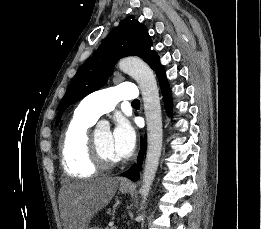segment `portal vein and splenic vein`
<instances>
[{"mask_svg":"<svg viewBox=\"0 0 261 229\" xmlns=\"http://www.w3.org/2000/svg\"><path fill=\"white\" fill-rule=\"evenodd\" d=\"M111 229H117V227L116 226H112Z\"/></svg>","mask_w":261,"mask_h":229,"instance_id":"18ae733b","label":"portal vein and splenic vein"}]
</instances>
